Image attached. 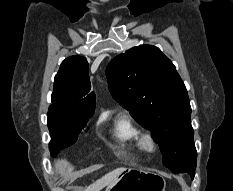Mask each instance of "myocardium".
<instances>
[{"label":"myocardium","instance_id":"1","mask_svg":"<svg viewBox=\"0 0 233 191\" xmlns=\"http://www.w3.org/2000/svg\"><path fill=\"white\" fill-rule=\"evenodd\" d=\"M141 141L144 150L153 152L157 147V141L155 135L151 131H145L142 133Z\"/></svg>","mask_w":233,"mask_h":191}]
</instances>
